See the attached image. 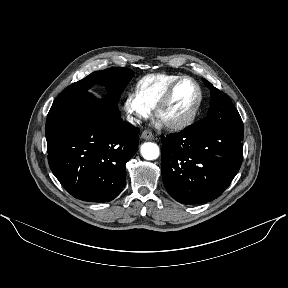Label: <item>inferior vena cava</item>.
I'll list each match as a JSON object with an SVG mask.
<instances>
[{"label": "inferior vena cava", "instance_id": "602c4592", "mask_svg": "<svg viewBox=\"0 0 288 288\" xmlns=\"http://www.w3.org/2000/svg\"><path fill=\"white\" fill-rule=\"evenodd\" d=\"M127 121L133 125L140 124L141 120L132 116H127Z\"/></svg>", "mask_w": 288, "mask_h": 288}]
</instances>
